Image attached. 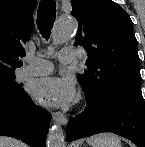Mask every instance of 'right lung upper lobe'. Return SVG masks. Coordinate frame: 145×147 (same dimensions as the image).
<instances>
[{"label": "right lung upper lobe", "instance_id": "obj_1", "mask_svg": "<svg viewBox=\"0 0 145 147\" xmlns=\"http://www.w3.org/2000/svg\"><path fill=\"white\" fill-rule=\"evenodd\" d=\"M36 0H0V75L15 74L33 29Z\"/></svg>", "mask_w": 145, "mask_h": 147}]
</instances>
